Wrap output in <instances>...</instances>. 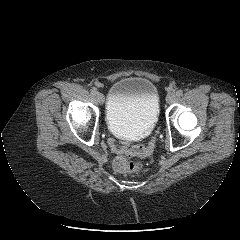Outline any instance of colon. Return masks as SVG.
Listing matches in <instances>:
<instances>
[{"label":"colon","instance_id":"5ec220e1","mask_svg":"<svg viewBox=\"0 0 240 240\" xmlns=\"http://www.w3.org/2000/svg\"><path fill=\"white\" fill-rule=\"evenodd\" d=\"M152 147L149 146H134L122 152L114 159L113 167L118 173H136L142 168V165L130 159L132 156H146L151 152Z\"/></svg>","mask_w":240,"mask_h":240}]
</instances>
